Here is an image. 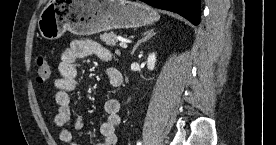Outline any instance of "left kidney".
I'll return each mask as SVG.
<instances>
[{
	"label": "left kidney",
	"instance_id": "5707ae66",
	"mask_svg": "<svg viewBox=\"0 0 276 145\" xmlns=\"http://www.w3.org/2000/svg\"><path fill=\"white\" fill-rule=\"evenodd\" d=\"M155 64H156V54L151 53L147 58L148 69L152 71L155 68Z\"/></svg>",
	"mask_w": 276,
	"mask_h": 145
}]
</instances>
